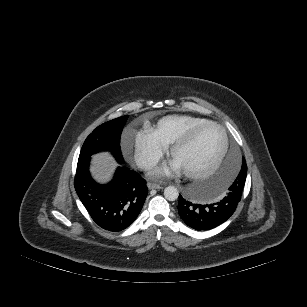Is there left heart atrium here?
Here are the masks:
<instances>
[{
	"label": "left heart atrium",
	"instance_id": "39dd6f15",
	"mask_svg": "<svg viewBox=\"0 0 307 307\" xmlns=\"http://www.w3.org/2000/svg\"><path fill=\"white\" fill-rule=\"evenodd\" d=\"M180 170L181 169L175 163H173L171 166H162L156 168L153 174L156 176H165V175H170L174 172H178Z\"/></svg>",
	"mask_w": 307,
	"mask_h": 307
}]
</instances>
